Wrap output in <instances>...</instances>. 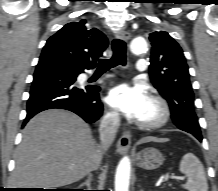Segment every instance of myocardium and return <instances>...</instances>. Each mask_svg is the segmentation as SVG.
Returning a JSON list of instances; mask_svg holds the SVG:
<instances>
[{
  "mask_svg": "<svg viewBox=\"0 0 218 191\" xmlns=\"http://www.w3.org/2000/svg\"><path fill=\"white\" fill-rule=\"evenodd\" d=\"M150 101L156 107L157 114L153 119L150 120H137L136 125L145 130L157 129L164 126L171 117V109L167 101L159 96L152 95Z\"/></svg>",
  "mask_w": 218,
  "mask_h": 191,
  "instance_id": "f54148a6",
  "label": "myocardium"
}]
</instances>
